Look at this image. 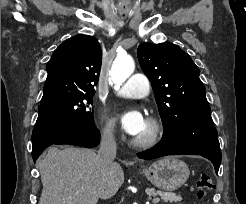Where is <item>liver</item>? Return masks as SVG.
<instances>
[{
  "instance_id": "1",
  "label": "liver",
  "mask_w": 246,
  "mask_h": 204,
  "mask_svg": "<svg viewBox=\"0 0 246 204\" xmlns=\"http://www.w3.org/2000/svg\"><path fill=\"white\" fill-rule=\"evenodd\" d=\"M38 166L43 185L39 204H97L124 182L119 163L106 169L89 149L51 147Z\"/></svg>"
}]
</instances>
